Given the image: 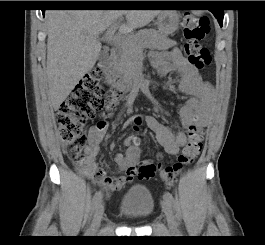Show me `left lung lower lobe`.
Here are the masks:
<instances>
[{"label": "left lung lower lobe", "instance_id": "left-lung-lower-lobe-1", "mask_svg": "<svg viewBox=\"0 0 265 245\" xmlns=\"http://www.w3.org/2000/svg\"><path fill=\"white\" fill-rule=\"evenodd\" d=\"M214 16L217 18L220 26H222V23H223V17H224V13H223V9H211L210 10Z\"/></svg>", "mask_w": 265, "mask_h": 245}]
</instances>
